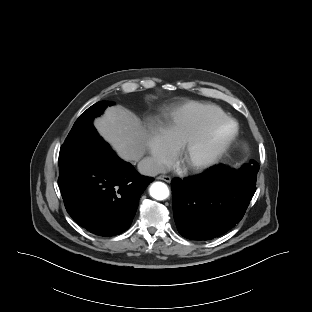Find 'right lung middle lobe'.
Segmentation results:
<instances>
[{
    "instance_id": "1",
    "label": "right lung middle lobe",
    "mask_w": 312,
    "mask_h": 312,
    "mask_svg": "<svg viewBox=\"0 0 312 312\" xmlns=\"http://www.w3.org/2000/svg\"><path fill=\"white\" fill-rule=\"evenodd\" d=\"M111 102H98L89 107L74 123L59 153V175L68 174L91 150L105 144L93 126V118L101 115Z\"/></svg>"
}]
</instances>
